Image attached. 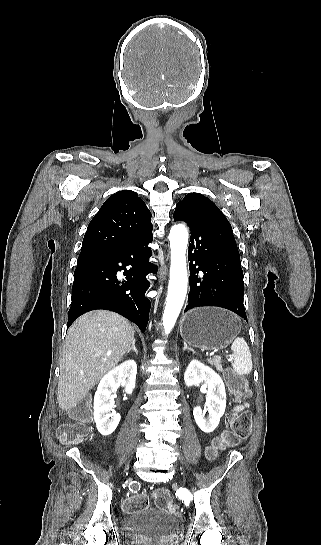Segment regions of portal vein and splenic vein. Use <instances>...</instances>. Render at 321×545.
<instances>
[{
    "instance_id": "18ae733b",
    "label": "portal vein and splenic vein",
    "mask_w": 321,
    "mask_h": 545,
    "mask_svg": "<svg viewBox=\"0 0 321 545\" xmlns=\"http://www.w3.org/2000/svg\"><path fill=\"white\" fill-rule=\"evenodd\" d=\"M210 352H211L210 356H214V354H216L217 351H216V349L213 348V349H211ZM103 361H107V359H103Z\"/></svg>"
}]
</instances>
